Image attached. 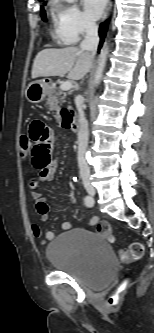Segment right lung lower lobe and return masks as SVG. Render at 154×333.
<instances>
[{
	"label": "right lung lower lobe",
	"mask_w": 154,
	"mask_h": 333,
	"mask_svg": "<svg viewBox=\"0 0 154 333\" xmlns=\"http://www.w3.org/2000/svg\"><path fill=\"white\" fill-rule=\"evenodd\" d=\"M107 25H108V22H105L104 24H102L100 26L99 34H100L101 41H100L99 50H100V47L102 46V43L104 41V37H105V34H106V30H107Z\"/></svg>",
	"instance_id": "obj_1"
}]
</instances>
